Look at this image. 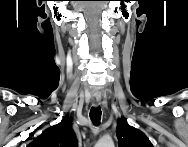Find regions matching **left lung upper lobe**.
I'll list each match as a JSON object with an SVG mask.
<instances>
[{
  "instance_id": "1",
  "label": "left lung upper lobe",
  "mask_w": 188,
  "mask_h": 147,
  "mask_svg": "<svg viewBox=\"0 0 188 147\" xmlns=\"http://www.w3.org/2000/svg\"><path fill=\"white\" fill-rule=\"evenodd\" d=\"M116 135L119 147H153L146 135L130 126L124 118L118 121Z\"/></svg>"
}]
</instances>
